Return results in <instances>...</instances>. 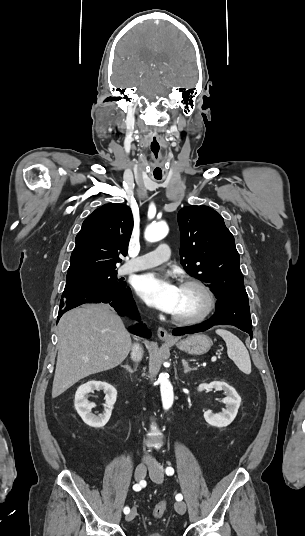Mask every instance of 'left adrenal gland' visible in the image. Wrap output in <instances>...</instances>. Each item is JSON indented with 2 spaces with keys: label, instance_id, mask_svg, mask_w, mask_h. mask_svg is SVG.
<instances>
[{
  "label": "left adrenal gland",
  "instance_id": "obj_1",
  "mask_svg": "<svg viewBox=\"0 0 305 536\" xmlns=\"http://www.w3.org/2000/svg\"><path fill=\"white\" fill-rule=\"evenodd\" d=\"M184 366V374H188V372H191V370H194V368H189L188 362H183Z\"/></svg>",
  "mask_w": 305,
  "mask_h": 536
}]
</instances>
